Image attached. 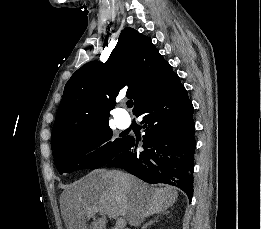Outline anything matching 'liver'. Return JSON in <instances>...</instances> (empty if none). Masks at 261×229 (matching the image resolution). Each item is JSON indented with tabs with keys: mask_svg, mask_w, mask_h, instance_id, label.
<instances>
[{
	"mask_svg": "<svg viewBox=\"0 0 261 229\" xmlns=\"http://www.w3.org/2000/svg\"><path fill=\"white\" fill-rule=\"evenodd\" d=\"M178 197L177 187L149 189L146 183L122 173L95 169L70 185L64 199L63 215L67 229H86L87 219H93L89 229H106L107 217H123L130 227H140L146 217L158 215L173 207ZM102 217H95V215Z\"/></svg>",
	"mask_w": 261,
	"mask_h": 229,
	"instance_id": "1",
	"label": "liver"
}]
</instances>
